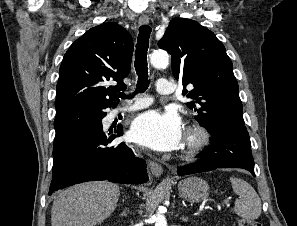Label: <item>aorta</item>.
Instances as JSON below:
<instances>
[{
    "instance_id": "obj_1",
    "label": "aorta",
    "mask_w": 297,
    "mask_h": 226,
    "mask_svg": "<svg viewBox=\"0 0 297 226\" xmlns=\"http://www.w3.org/2000/svg\"><path fill=\"white\" fill-rule=\"evenodd\" d=\"M150 63L156 68L167 66L169 63V56L164 51H155L150 56ZM155 226H167L166 218L161 209H158L155 215Z\"/></svg>"
}]
</instances>
